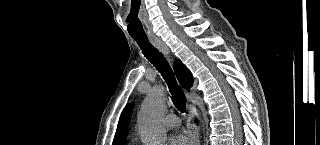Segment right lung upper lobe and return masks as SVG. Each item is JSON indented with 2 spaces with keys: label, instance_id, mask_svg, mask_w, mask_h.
<instances>
[{
  "label": "right lung upper lobe",
  "instance_id": "obj_1",
  "mask_svg": "<svg viewBox=\"0 0 320 145\" xmlns=\"http://www.w3.org/2000/svg\"><path fill=\"white\" fill-rule=\"evenodd\" d=\"M174 71L177 75L178 81L185 87H192L193 77L188 68L180 61L175 60ZM134 103H130L126 106L120 116L117 131L113 140V145H122L123 141L127 137V128L131 119V111Z\"/></svg>",
  "mask_w": 320,
  "mask_h": 145
}]
</instances>
